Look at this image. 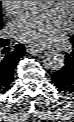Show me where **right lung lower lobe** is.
Returning a JSON list of instances; mask_svg holds the SVG:
<instances>
[{
  "instance_id": "1",
  "label": "right lung lower lobe",
  "mask_w": 74,
  "mask_h": 122,
  "mask_svg": "<svg viewBox=\"0 0 74 122\" xmlns=\"http://www.w3.org/2000/svg\"><path fill=\"white\" fill-rule=\"evenodd\" d=\"M8 45L9 40L0 38V93L9 89L18 60L26 53L22 44Z\"/></svg>"
}]
</instances>
